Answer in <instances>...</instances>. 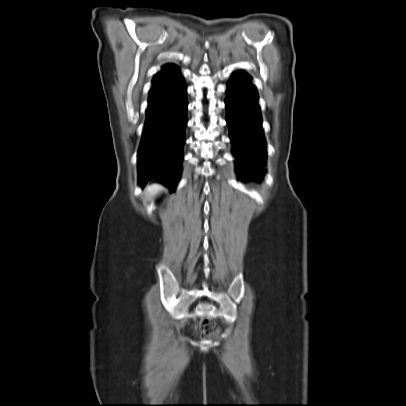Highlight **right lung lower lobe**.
<instances>
[{
	"label": "right lung lower lobe",
	"instance_id": "obj_1",
	"mask_svg": "<svg viewBox=\"0 0 406 406\" xmlns=\"http://www.w3.org/2000/svg\"><path fill=\"white\" fill-rule=\"evenodd\" d=\"M187 86L178 67L153 81L138 151L139 183L155 178L175 190L182 172Z\"/></svg>",
	"mask_w": 406,
	"mask_h": 406
}]
</instances>
